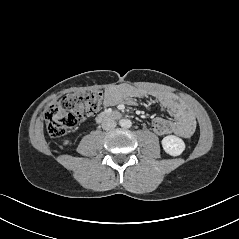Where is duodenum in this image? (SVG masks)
Listing matches in <instances>:
<instances>
[{"instance_id":"obj_1","label":"duodenum","mask_w":239,"mask_h":239,"mask_svg":"<svg viewBox=\"0 0 239 239\" xmlns=\"http://www.w3.org/2000/svg\"><path fill=\"white\" fill-rule=\"evenodd\" d=\"M120 118H122V114L119 111H109V112L100 113L96 117V122L102 123L108 120H117Z\"/></svg>"}]
</instances>
